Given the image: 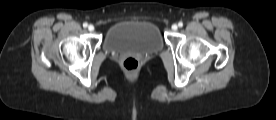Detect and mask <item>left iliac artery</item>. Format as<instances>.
<instances>
[{
  "label": "left iliac artery",
  "mask_w": 276,
  "mask_h": 120,
  "mask_svg": "<svg viewBox=\"0 0 276 120\" xmlns=\"http://www.w3.org/2000/svg\"><path fill=\"white\" fill-rule=\"evenodd\" d=\"M178 26H179V27H182V26H183V23H182V22H179V23H178Z\"/></svg>",
  "instance_id": "left-iliac-artery-1"
}]
</instances>
